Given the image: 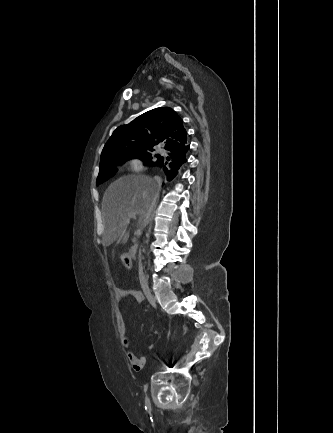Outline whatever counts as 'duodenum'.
Here are the masks:
<instances>
[{
  "label": "duodenum",
  "instance_id": "1",
  "mask_svg": "<svg viewBox=\"0 0 333 433\" xmlns=\"http://www.w3.org/2000/svg\"><path fill=\"white\" fill-rule=\"evenodd\" d=\"M136 246L133 244L131 247H130V250H129V257L130 258H134L135 257V254H134V252L136 251V248H135ZM135 263L138 261L136 258L133 260Z\"/></svg>",
  "mask_w": 333,
  "mask_h": 433
}]
</instances>
